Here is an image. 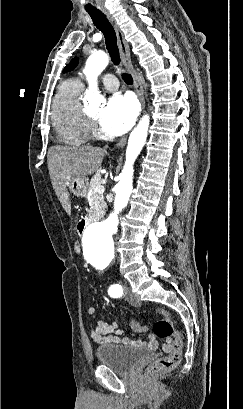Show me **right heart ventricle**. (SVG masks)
<instances>
[{"label":"right heart ventricle","instance_id":"obj_1","mask_svg":"<svg viewBox=\"0 0 243 409\" xmlns=\"http://www.w3.org/2000/svg\"><path fill=\"white\" fill-rule=\"evenodd\" d=\"M82 88L80 80H66L52 104L53 127L60 140L69 145L84 144L90 137V124L80 101Z\"/></svg>","mask_w":243,"mask_h":409}]
</instances>
